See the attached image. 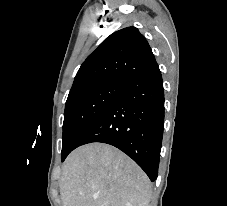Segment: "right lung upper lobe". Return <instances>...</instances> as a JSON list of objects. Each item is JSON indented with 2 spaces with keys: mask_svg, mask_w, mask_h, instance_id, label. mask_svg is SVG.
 <instances>
[{
  "mask_svg": "<svg viewBox=\"0 0 227 206\" xmlns=\"http://www.w3.org/2000/svg\"><path fill=\"white\" fill-rule=\"evenodd\" d=\"M157 65L145 37L135 27H126L107 37L83 62L70 93L104 80H122Z\"/></svg>",
  "mask_w": 227,
  "mask_h": 206,
  "instance_id": "cb5924a9",
  "label": "right lung upper lobe"
}]
</instances>
